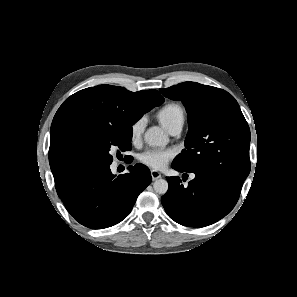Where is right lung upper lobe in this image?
Returning <instances> with one entry per match:
<instances>
[{
    "mask_svg": "<svg viewBox=\"0 0 297 297\" xmlns=\"http://www.w3.org/2000/svg\"><path fill=\"white\" fill-rule=\"evenodd\" d=\"M157 90L131 92L124 87L99 85L76 92L56 112L50 132L49 163L59 191L81 171L74 156L76 140L103 127L132 126L146 104L160 105Z\"/></svg>",
    "mask_w": 297,
    "mask_h": 297,
    "instance_id": "cb5924a9",
    "label": "right lung upper lobe"
}]
</instances>
